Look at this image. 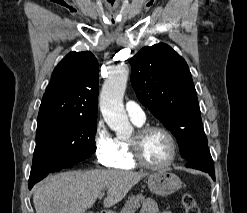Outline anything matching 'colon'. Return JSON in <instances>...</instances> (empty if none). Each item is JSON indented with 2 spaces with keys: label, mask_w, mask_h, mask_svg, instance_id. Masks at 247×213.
I'll return each mask as SVG.
<instances>
[{
  "label": "colon",
  "mask_w": 247,
  "mask_h": 213,
  "mask_svg": "<svg viewBox=\"0 0 247 213\" xmlns=\"http://www.w3.org/2000/svg\"><path fill=\"white\" fill-rule=\"evenodd\" d=\"M185 213H201L200 208L192 194L186 193L182 198Z\"/></svg>",
  "instance_id": "1"
}]
</instances>
